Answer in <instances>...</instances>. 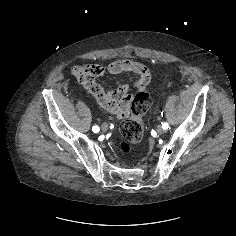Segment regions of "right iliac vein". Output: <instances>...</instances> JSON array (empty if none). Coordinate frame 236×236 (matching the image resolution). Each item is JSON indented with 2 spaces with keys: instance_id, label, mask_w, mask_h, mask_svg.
<instances>
[{
  "instance_id": "obj_1",
  "label": "right iliac vein",
  "mask_w": 236,
  "mask_h": 236,
  "mask_svg": "<svg viewBox=\"0 0 236 236\" xmlns=\"http://www.w3.org/2000/svg\"><path fill=\"white\" fill-rule=\"evenodd\" d=\"M108 128H109V125H108L107 123H103V124L101 125V129H102L103 131H107Z\"/></svg>"
}]
</instances>
